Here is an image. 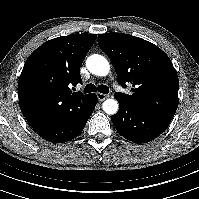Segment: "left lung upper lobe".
I'll use <instances>...</instances> for the list:
<instances>
[{
	"label": "left lung upper lobe",
	"instance_id": "obj_1",
	"mask_svg": "<svg viewBox=\"0 0 199 199\" xmlns=\"http://www.w3.org/2000/svg\"><path fill=\"white\" fill-rule=\"evenodd\" d=\"M98 44L110 58L125 87L131 83L132 95L114 96L153 115L172 120L178 107L179 80L169 57L156 45L122 33L99 34Z\"/></svg>",
	"mask_w": 199,
	"mask_h": 199
}]
</instances>
